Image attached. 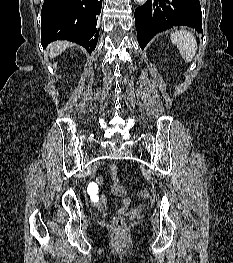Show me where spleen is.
<instances>
[{"mask_svg": "<svg viewBox=\"0 0 233 263\" xmlns=\"http://www.w3.org/2000/svg\"><path fill=\"white\" fill-rule=\"evenodd\" d=\"M171 41L175 44L186 63H190L197 51V42L194 35L180 30L171 34Z\"/></svg>", "mask_w": 233, "mask_h": 263, "instance_id": "1", "label": "spleen"}]
</instances>
